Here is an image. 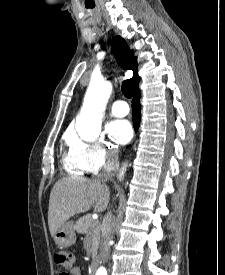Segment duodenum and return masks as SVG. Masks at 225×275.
I'll return each instance as SVG.
<instances>
[{
	"label": "duodenum",
	"instance_id": "1",
	"mask_svg": "<svg viewBox=\"0 0 225 275\" xmlns=\"http://www.w3.org/2000/svg\"><path fill=\"white\" fill-rule=\"evenodd\" d=\"M96 269V258L93 257L90 262V273L91 275H94Z\"/></svg>",
	"mask_w": 225,
	"mask_h": 275
}]
</instances>
